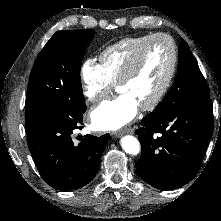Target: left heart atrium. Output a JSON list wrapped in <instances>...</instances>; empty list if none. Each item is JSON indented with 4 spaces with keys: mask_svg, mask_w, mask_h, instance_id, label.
<instances>
[{
    "mask_svg": "<svg viewBox=\"0 0 221 221\" xmlns=\"http://www.w3.org/2000/svg\"><path fill=\"white\" fill-rule=\"evenodd\" d=\"M138 110V104L131 97L120 94L92 110V124L97 130H118L129 124L136 117Z\"/></svg>",
    "mask_w": 221,
    "mask_h": 221,
    "instance_id": "obj_1",
    "label": "left heart atrium"
}]
</instances>
